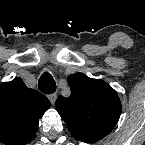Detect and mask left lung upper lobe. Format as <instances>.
<instances>
[{
    "label": "left lung upper lobe",
    "mask_w": 145,
    "mask_h": 145,
    "mask_svg": "<svg viewBox=\"0 0 145 145\" xmlns=\"http://www.w3.org/2000/svg\"><path fill=\"white\" fill-rule=\"evenodd\" d=\"M71 95L59 96L55 107L72 130L111 131L119 120L121 102L114 89L101 79L82 73L69 75Z\"/></svg>",
    "instance_id": "5c2ea615"
}]
</instances>
